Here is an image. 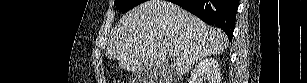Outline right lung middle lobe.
<instances>
[{"instance_id": "1", "label": "right lung middle lobe", "mask_w": 307, "mask_h": 83, "mask_svg": "<svg viewBox=\"0 0 307 83\" xmlns=\"http://www.w3.org/2000/svg\"><path fill=\"white\" fill-rule=\"evenodd\" d=\"M145 0H115L114 4L118 10L125 13L133 7L143 3Z\"/></svg>"}]
</instances>
